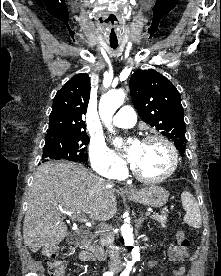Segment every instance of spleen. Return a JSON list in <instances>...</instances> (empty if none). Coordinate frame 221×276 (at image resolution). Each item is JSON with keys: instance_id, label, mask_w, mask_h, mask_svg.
<instances>
[{"instance_id": "3e777b00", "label": "spleen", "mask_w": 221, "mask_h": 276, "mask_svg": "<svg viewBox=\"0 0 221 276\" xmlns=\"http://www.w3.org/2000/svg\"><path fill=\"white\" fill-rule=\"evenodd\" d=\"M181 201L186 215L184 222L193 228H200L202 224L201 213L197 201L193 195L188 191H183L181 194Z\"/></svg>"}]
</instances>
